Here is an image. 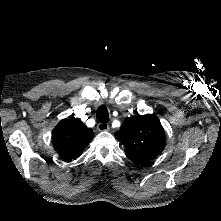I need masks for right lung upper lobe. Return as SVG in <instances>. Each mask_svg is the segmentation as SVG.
Here are the masks:
<instances>
[{
  "mask_svg": "<svg viewBox=\"0 0 221 221\" xmlns=\"http://www.w3.org/2000/svg\"><path fill=\"white\" fill-rule=\"evenodd\" d=\"M93 131L80 119L71 117L61 120L53 130V145L60 157L69 162L80 156L93 139Z\"/></svg>",
  "mask_w": 221,
  "mask_h": 221,
  "instance_id": "1",
  "label": "right lung upper lobe"
}]
</instances>
